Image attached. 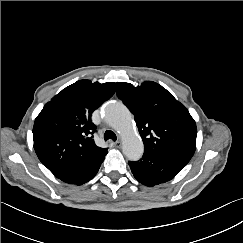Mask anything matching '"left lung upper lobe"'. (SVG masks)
<instances>
[{"instance_id": "1", "label": "left lung upper lobe", "mask_w": 243, "mask_h": 243, "mask_svg": "<svg viewBox=\"0 0 243 243\" xmlns=\"http://www.w3.org/2000/svg\"><path fill=\"white\" fill-rule=\"evenodd\" d=\"M117 95L134 114L144 151L191 159L197 128L189 111L158 83L118 82Z\"/></svg>"}]
</instances>
